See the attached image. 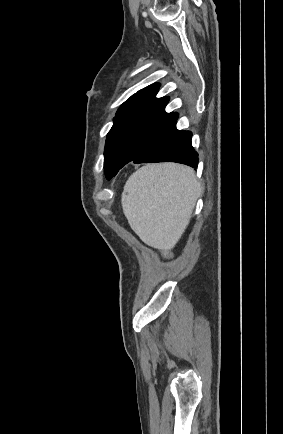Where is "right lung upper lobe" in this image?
Here are the masks:
<instances>
[{
	"label": "right lung upper lobe",
	"instance_id": "cb5924a9",
	"mask_svg": "<svg viewBox=\"0 0 283 434\" xmlns=\"http://www.w3.org/2000/svg\"><path fill=\"white\" fill-rule=\"evenodd\" d=\"M158 89L159 84L155 83L139 90L121 105L115 119L146 115L161 119L177 120V113L165 112L169 97L156 98Z\"/></svg>",
	"mask_w": 283,
	"mask_h": 434
}]
</instances>
